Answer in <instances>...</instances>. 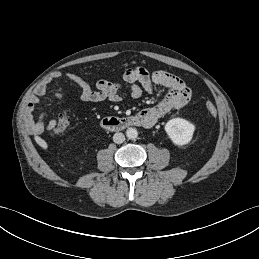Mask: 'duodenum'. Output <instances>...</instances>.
<instances>
[{
	"instance_id": "410a0bca",
	"label": "duodenum",
	"mask_w": 259,
	"mask_h": 259,
	"mask_svg": "<svg viewBox=\"0 0 259 259\" xmlns=\"http://www.w3.org/2000/svg\"><path fill=\"white\" fill-rule=\"evenodd\" d=\"M147 120L139 114L129 117H107L101 122L102 128L110 131H119L132 126H147Z\"/></svg>"
}]
</instances>
